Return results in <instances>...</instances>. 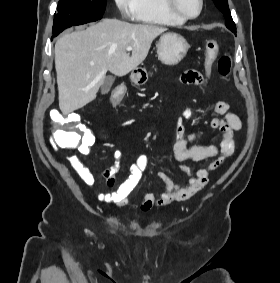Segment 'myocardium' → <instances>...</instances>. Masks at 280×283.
I'll list each match as a JSON object with an SVG mask.
<instances>
[{"label":"myocardium","instance_id":"obj_1","mask_svg":"<svg viewBox=\"0 0 280 283\" xmlns=\"http://www.w3.org/2000/svg\"><path fill=\"white\" fill-rule=\"evenodd\" d=\"M167 9L174 14L175 16L183 19V20H193L199 17L203 11L204 8V0H199V10L195 15H189L185 12H183L176 4V0H165Z\"/></svg>","mask_w":280,"mask_h":283}]
</instances>
